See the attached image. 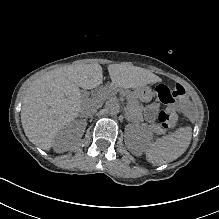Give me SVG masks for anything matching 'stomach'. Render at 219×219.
Masks as SVG:
<instances>
[{
	"label": "stomach",
	"mask_w": 219,
	"mask_h": 219,
	"mask_svg": "<svg viewBox=\"0 0 219 219\" xmlns=\"http://www.w3.org/2000/svg\"><path fill=\"white\" fill-rule=\"evenodd\" d=\"M136 95L144 101L149 100L151 96V90L145 86L138 88L135 91Z\"/></svg>",
	"instance_id": "obj_1"
}]
</instances>
